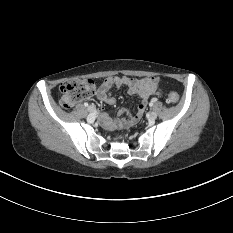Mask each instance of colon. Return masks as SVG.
Masks as SVG:
<instances>
[{
  "label": "colon",
  "mask_w": 233,
  "mask_h": 233,
  "mask_svg": "<svg viewBox=\"0 0 233 233\" xmlns=\"http://www.w3.org/2000/svg\"><path fill=\"white\" fill-rule=\"evenodd\" d=\"M96 91V84L91 79H74L62 83L59 87L60 104L65 109H70L81 99L91 97ZM170 103L179 101V94L170 92L167 96Z\"/></svg>",
  "instance_id": "colon-1"
}]
</instances>
